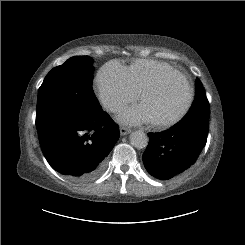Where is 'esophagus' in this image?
<instances>
[{"mask_svg":"<svg viewBox=\"0 0 245 245\" xmlns=\"http://www.w3.org/2000/svg\"><path fill=\"white\" fill-rule=\"evenodd\" d=\"M131 132V129L127 128V127H120V134L122 136H125L127 134H129Z\"/></svg>","mask_w":245,"mask_h":245,"instance_id":"esophagus-1","label":"esophagus"}]
</instances>
